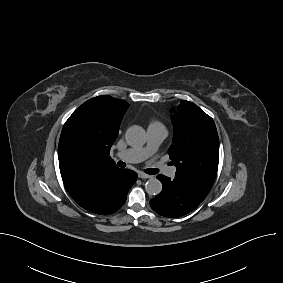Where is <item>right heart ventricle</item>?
<instances>
[{
    "label": "right heart ventricle",
    "instance_id": "obj_1",
    "mask_svg": "<svg viewBox=\"0 0 283 283\" xmlns=\"http://www.w3.org/2000/svg\"><path fill=\"white\" fill-rule=\"evenodd\" d=\"M151 125H161V124L159 122H157V121H153V122L150 123V126Z\"/></svg>",
    "mask_w": 283,
    "mask_h": 283
}]
</instances>
